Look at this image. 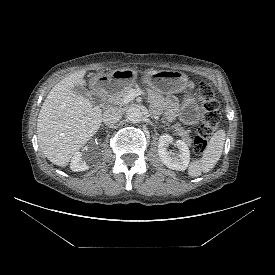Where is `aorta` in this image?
<instances>
[{
	"mask_svg": "<svg viewBox=\"0 0 275 275\" xmlns=\"http://www.w3.org/2000/svg\"><path fill=\"white\" fill-rule=\"evenodd\" d=\"M126 116L132 123H139L143 118L141 110L135 106H131L127 109Z\"/></svg>",
	"mask_w": 275,
	"mask_h": 275,
	"instance_id": "1",
	"label": "aorta"
}]
</instances>
